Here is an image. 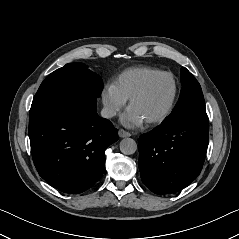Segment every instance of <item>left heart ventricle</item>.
<instances>
[{"mask_svg":"<svg viewBox=\"0 0 239 239\" xmlns=\"http://www.w3.org/2000/svg\"><path fill=\"white\" fill-rule=\"evenodd\" d=\"M173 85L170 78L163 76L155 80L147 91L130 108L143 120L161 113L170 101Z\"/></svg>","mask_w":239,"mask_h":239,"instance_id":"obj_1","label":"left heart ventricle"}]
</instances>
